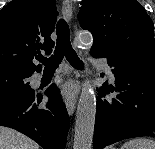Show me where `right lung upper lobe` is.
Returning a JSON list of instances; mask_svg holds the SVG:
<instances>
[{
  "instance_id": "cb5924a9",
  "label": "right lung upper lobe",
  "mask_w": 155,
  "mask_h": 149,
  "mask_svg": "<svg viewBox=\"0 0 155 149\" xmlns=\"http://www.w3.org/2000/svg\"><path fill=\"white\" fill-rule=\"evenodd\" d=\"M57 9L55 0H12L0 11V67L33 74L41 65L34 56L52 52L50 38Z\"/></svg>"
}]
</instances>
